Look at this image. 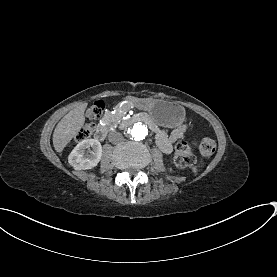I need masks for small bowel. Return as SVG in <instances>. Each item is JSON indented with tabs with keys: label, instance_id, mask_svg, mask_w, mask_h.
<instances>
[{
	"label": "small bowel",
	"instance_id": "small-bowel-1",
	"mask_svg": "<svg viewBox=\"0 0 277 277\" xmlns=\"http://www.w3.org/2000/svg\"><path fill=\"white\" fill-rule=\"evenodd\" d=\"M188 130V124L181 123L177 125L171 132L162 128H155L156 143L160 150L165 154L173 151V144L181 139Z\"/></svg>",
	"mask_w": 277,
	"mask_h": 277
}]
</instances>
